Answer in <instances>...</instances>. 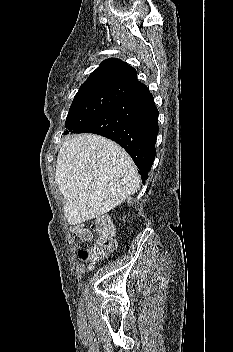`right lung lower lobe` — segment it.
Wrapping results in <instances>:
<instances>
[{
  "label": "right lung lower lobe",
  "mask_w": 233,
  "mask_h": 352,
  "mask_svg": "<svg viewBox=\"0 0 233 352\" xmlns=\"http://www.w3.org/2000/svg\"><path fill=\"white\" fill-rule=\"evenodd\" d=\"M71 133H94L120 144L145 182L156 155L158 110L154 98L148 89L140 91L102 111Z\"/></svg>",
  "instance_id": "right-lung-lower-lobe-1"
}]
</instances>
